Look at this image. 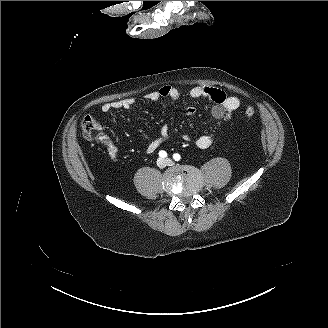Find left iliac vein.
I'll return each instance as SVG.
<instances>
[{"mask_svg":"<svg viewBox=\"0 0 328 328\" xmlns=\"http://www.w3.org/2000/svg\"><path fill=\"white\" fill-rule=\"evenodd\" d=\"M165 161H166L167 165H169V166H172L174 164L173 161L170 159H165Z\"/></svg>","mask_w":328,"mask_h":328,"instance_id":"left-iliac-vein-1","label":"left iliac vein"}]
</instances>
